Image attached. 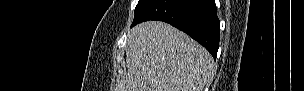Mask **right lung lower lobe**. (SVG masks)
Listing matches in <instances>:
<instances>
[{
  "mask_svg": "<svg viewBox=\"0 0 304 91\" xmlns=\"http://www.w3.org/2000/svg\"><path fill=\"white\" fill-rule=\"evenodd\" d=\"M148 20L164 21L182 30L216 58L220 22L214 0H151L131 27Z\"/></svg>",
  "mask_w": 304,
  "mask_h": 91,
  "instance_id": "98d812e1",
  "label": "right lung lower lobe"
}]
</instances>
